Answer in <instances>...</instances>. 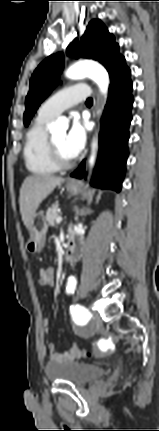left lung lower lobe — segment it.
Masks as SVG:
<instances>
[{
    "label": "left lung lower lobe",
    "instance_id": "obj_1",
    "mask_svg": "<svg viewBox=\"0 0 159 431\" xmlns=\"http://www.w3.org/2000/svg\"><path fill=\"white\" fill-rule=\"evenodd\" d=\"M132 88L130 69L126 65L110 78L108 100L101 119L99 158L91 181L94 187L121 190L132 120ZM85 175L83 161L71 176L81 179Z\"/></svg>",
    "mask_w": 159,
    "mask_h": 431
}]
</instances>
